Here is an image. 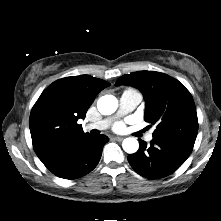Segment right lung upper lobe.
I'll list each match as a JSON object with an SVG mask.
<instances>
[{
	"mask_svg": "<svg viewBox=\"0 0 221 221\" xmlns=\"http://www.w3.org/2000/svg\"><path fill=\"white\" fill-rule=\"evenodd\" d=\"M110 83L80 75L59 79L49 85L32 108L30 133L33 148L47 166L83 137L79 119H84L96 95Z\"/></svg>",
	"mask_w": 221,
	"mask_h": 221,
	"instance_id": "1",
	"label": "right lung upper lobe"
}]
</instances>
